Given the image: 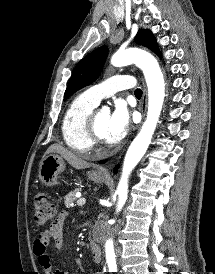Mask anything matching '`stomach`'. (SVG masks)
I'll return each instance as SVG.
<instances>
[{"instance_id":"stomach-1","label":"stomach","mask_w":215,"mask_h":274,"mask_svg":"<svg viewBox=\"0 0 215 274\" xmlns=\"http://www.w3.org/2000/svg\"><path fill=\"white\" fill-rule=\"evenodd\" d=\"M65 169L64 159L56 154L46 156L39 168V178L47 187H53L58 184V176ZM88 178L96 183L106 181V176L96 171L89 172Z\"/></svg>"}]
</instances>
